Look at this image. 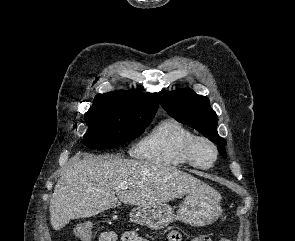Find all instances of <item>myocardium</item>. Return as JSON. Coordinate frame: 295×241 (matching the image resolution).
<instances>
[{"mask_svg":"<svg viewBox=\"0 0 295 241\" xmlns=\"http://www.w3.org/2000/svg\"><path fill=\"white\" fill-rule=\"evenodd\" d=\"M200 142L206 143L213 151V159L208 165L200 164L196 159V147ZM185 156L189 164H191L192 166L199 169H210L217 162L219 151L217 145L210 138L204 135H195L192 139L189 140L185 147Z\"/></svg>","mask_w":295,"mask_h":241,"instance_id":"f54148a6","label":"myocardium"}]
</instances>
